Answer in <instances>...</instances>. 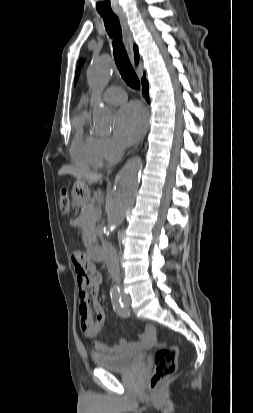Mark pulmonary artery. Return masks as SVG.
Returning a JSON list of instances; mask_svg holds the SVG:
<instances>
[{
  "label": "pulmonary artery",
  "mask_w": 253,
  "mask_h": 413,
  "mask_svg": "<svg viewBox=\"0 0 253 413\" xmlns=\"http://www.w3.org/2000/svg\"><path fill=\"white\" fill-rule=\"evenodd\" d=\"M103 99L110 104H120L126 100V93L119 87H110L105 91Z\"/></svg>",
  "instance_id": "obj_1"
}]
</instances>
